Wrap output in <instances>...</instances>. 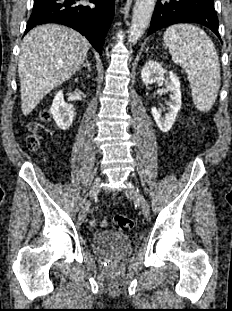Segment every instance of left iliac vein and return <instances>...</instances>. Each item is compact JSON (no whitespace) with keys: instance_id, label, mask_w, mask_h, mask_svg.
Returning <instances> with one entry per match:
<instances>
[{"instance_id":"left-iliac-vein-1","label":"left iliac vein","mask_w":232,"mask_h":311,"mask_svg":"<svg viewBox=\"0 0 232 311\" xmlns=\"http://www.w3.org/2000/svg\"><path fill=\"white\" fill-rule=\"evenodd\" d=\"M125 194L128 198H132V199H139L140 203H141V209H142V213L145 217H148L150 215V207L147 203V201L145 200V198L143 197L142 194H140L136 189L134 188H128L125 191Z\"/></svg>"}]
</instances>
